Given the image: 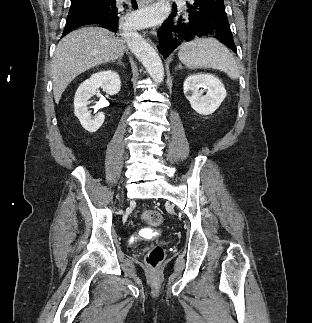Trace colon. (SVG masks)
<instances>
[{"label": "colon", "instance_id": "obj_1", "mask_svg": "<svg viewBox=\"0 0 312 323\" xmlns=\"http://www.w3.org/2000/svg\"><path fill=\"white\" fill-rule=\"evenodd\" d=\"M143 219L150 225H159L163 221V215L158 210L145 209L143 211ZM163 258V248L156 246L148 252L146 256V261L149 264L150 269H159V263L163 260Z\"/></svg>", "mask_w": 312, "mask_h": 323}]
</instances>
